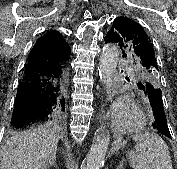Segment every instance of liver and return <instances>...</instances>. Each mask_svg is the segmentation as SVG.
<instances>
[{
	"instance_id": "liver-1",
	"label": "liver",
	"mask_w": 177,
	"mask_h": 169,
	"mask_svg": "<svg viewBox=\"0 0 177 169\" xmlns=\"http://www.w3.org/2000/svg\"><path fill=\"white\" fill-rule=\"evenodd\" d=\"M59 139L49 127L13 135L2 147L0 169H45L55 159Z\"/></svg>"
}]
</instances>
